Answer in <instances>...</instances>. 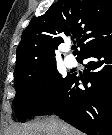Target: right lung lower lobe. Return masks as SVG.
I'll list each match as a JSON object with an SVG mask.
<instances>
[{"instance_id":"right-lung-lower-lobe-1","label":"right lung lower lobe","mask_w":112,"mask_h":135,"mask_svg":"<svg viewBox=\"0 0 112 135\" xmlns=\"http://www.w3.org/2000/svg\"><path fill=\"white\" fill-rule=\"evenodd\" d=\"M81 59H90L84 89L78 88L80 79L71 75L36 116L56 114L88 135H112V42L85 52Z\"/></svg>"}]
</instances>
